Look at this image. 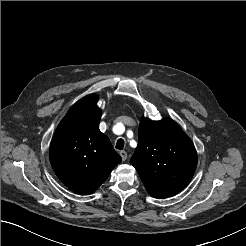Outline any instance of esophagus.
Segmentation results:
<instances>
[{"mask_svg":"<svg viewBox=\"0 0 246 246\" xmlns=\"http://www.w3.org/2000/svg\"><path fill=\"white\" fill-rule=\"evenodd\" d=\"M119 154H120L123 161H125L127 159V152L126 151H120Z\"/></svg>","mask_w":246,"mask_h":246,"instance_id":"34e87169","label":"esophagus"}]
</instances>
